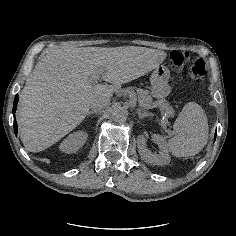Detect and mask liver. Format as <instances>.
I'll list each match as a JSON object with an SVG mask.
<instances>
[{"instance_id": "liver-1", "label": "liver", "mask_w": 236, "mask_h": 236, "mask_svg": "<svg viewBox=\"0 0 236 236\" xmlns=\"http://www.w3.org/2000/svg\"><path fill=\"white\" fill-rule=\"evenodd\" d=\"M152 49L145 47H65L36 64L20 94V137L30 152L58 142L86 117L89 109L108 103L121 85L143 76ZM100 72L105 84L92 85ZM110 83V84H108Z\"/></svg>"}]
</instances>
